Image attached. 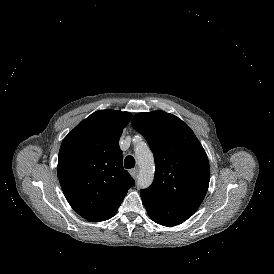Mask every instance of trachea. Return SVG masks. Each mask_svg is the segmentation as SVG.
I'll use <instances>...</instances> for the list:
<instances>
[{
  "instance_id": "obj_1",
  "label": "trachea",
  "mask_w": 274,
  "mask_h": 274,
  "mask_svg": "<svg viewBox=\"0 0 274 274\" xmlns=\"http://www.w3.org/2000/svg\"><path fill=\"white\" fill-rule=\"evenodd\" d=\"M124 166L126 169H131L135 166V159L133 156L129 155L124 160Z\"/></svg>"
}]
</instances>
